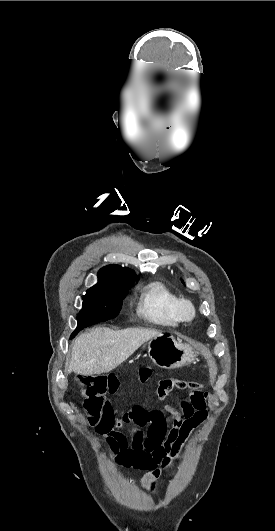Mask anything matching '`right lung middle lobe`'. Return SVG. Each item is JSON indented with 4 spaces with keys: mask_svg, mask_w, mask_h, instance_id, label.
<instances>
[{
    "mask_svg": "<svg viewBox=\"0 0 275 531\" xmlns=\"http://www.w3.org/2000/svg\"><path fill=\"white\" fill-rule=\"evenodd\" d=\"M133 282L115 285L96 284L88 289L83 298V307L77 317V328L71 338L85 327L115 318Z\"/></svg>",
    "mask_w": 275,
    "mask_h": 531,
    "instance_id": "1",
    "label": "right lung middle lobe"
}]
</instances>
